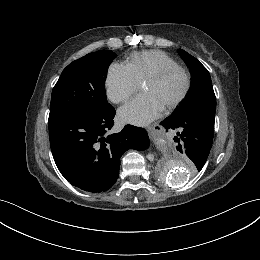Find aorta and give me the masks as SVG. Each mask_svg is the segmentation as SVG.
I'll list each match as a JSON object with an SVG mask.
<instances>
[{"instance_id":"aorta-1","label":"aorta","mask_w":260,"mask_h":260,"mask_svg":"<svg viewBox=\"0 0 260 260\" xmlns=\"http://www.w3.org/2000/svg\"><path fill=\"white\" fill-rule=\"evenodd\" d=\"M158 143V142H157ZM170 168L165 175L166 181L172 185H177L185 182L190 177V172L186 167L185 160L179 155L174 154L170 161Z\"/></svg>"}]
</instances>
